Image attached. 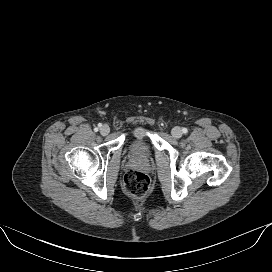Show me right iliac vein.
Listing matches in <instances>:
<instances>
[{"instance_id":"obj_1","label":"right iliac vein","mask_w":272,"mask_h":272,"mask_svg":"<svg viewBox=\"0 0 272 272\" xmlns=\"http://www.w3.org/2000/svg\"><path fill=\"white\" fill-rule=\"evenodd\" d=\"M110 132V128H109V126L108 125H103L101 128H100V133L102 134V135H107L108 133Z\"/></svg>"}]
</instances>
